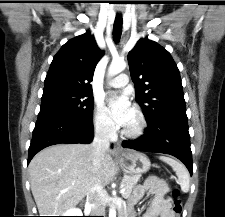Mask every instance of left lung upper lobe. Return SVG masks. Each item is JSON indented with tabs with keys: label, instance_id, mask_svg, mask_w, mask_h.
Masks as SVG:
<instances>
[{
	"label": "left lung upper lobe",
	"instance_id": "5c2ea615",
	"mask_svg": "<svg viewBox=\"0 0 225 217\" xmlns=\"http://www.w3.org/2000/svg\"><path fill=\"white\" fill-rule=\"evenodd\" d=\"M136 101L148 122L186 114L179 70L170 53L148 38L140 39L128 54Z\"/></svg>",
	"mask_w": 225,
	"mask_h": 217
}]
</instances>
